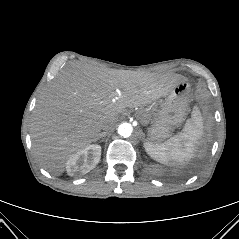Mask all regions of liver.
Wrapping results in <instances>:
<instances>
[{"mask_svg":"<svg viewBox=\"0 0 239 239\" xmlns=\"http://www.w3.org/2000/svg\"><path fill=\"white\" fill-rule=\"evenodd\" d=\"M186 78L179 75L109 70L75 65L49 83L33 111L32 147L41 166L54 176L69 157L95 142L101 125L126 108L151 104Z\"/></svg>","mask_w":239,"mask_h":239,"instance_id":"obj_1","label":"liver"}]
</instances>
